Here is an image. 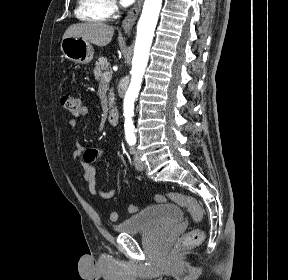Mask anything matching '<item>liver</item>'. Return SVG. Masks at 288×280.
<instances>
[{"mask_svg":"<svg viewBox=\"0 0 288 280\" xmlns=\"http://www.w3.org/2000/svg\"><path fill=\"white\" fill-rule=\"evenodd\" d=\"M114 27L100 22L78 23L71 25L65 31L63 38H81L94 45L103 47L108 45L113 37Z\"/></svg>","mask_w":288,"mask_h":280,"instance_id":"liver-1","label":"liver"}]
</instances>
